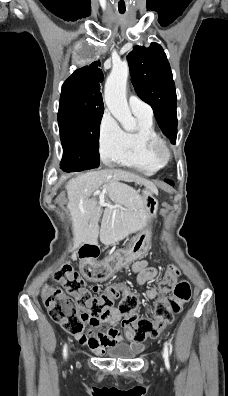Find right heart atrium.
<instances>
[{"instance_id":"d8ad5b80","label":"right heart atrium","mask_w":228,"mask_h":396,"mask_svg":"<svg viewBox=\"0 0 228 396\" xmlns=\"http://www.w3.org/2000/svg\"><path fill=\"white\" fill-rule=\"evenodd\" d=\"M124 132L109 111H104L98 126V142L102 159L112 162L120 153Z\"/></svg>"}]
</instances>
